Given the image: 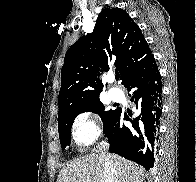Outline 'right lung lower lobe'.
<instances>
[{
    "label": "right lung lower lobe",
    "instance_id": "obj_1",
    "mask_svg": "<svg viewBox=\"0 0 196 182\" xmlns=\"http://www.w3.org/2000/svg\"><path fill=\"white\" fill-rule=\"evenodd\" d=\"M125 87L133 91L132 101L141 113L135 119L124 114V119L131 123L126 126L120 122L122 111L117 110L104 131L110 144L109 151L149 170L154 165L162 113V81L154 56L143 69L130 77Z\"/></svg>",
    "mask_w": 196,
    "mask_h": 182
}]
</instances>
